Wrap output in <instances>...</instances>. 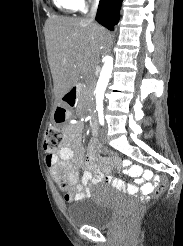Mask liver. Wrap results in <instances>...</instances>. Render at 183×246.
<instances>
[{
    "label": "liver",
    "mask_w": 183,
    "mask_h": 246,
    "mask_svg": "<svg viewBox=\"0 0 183 246\" xmlns=\"http://www.w3.org/2000/svg\"><path fill=\"white\" fill-rule=\"evenodd\" d=\"M45 35L54 93L60 99L78 82L80 74L97 64L106 31L88 19L51 16Z\"/></svg>",
    "instance_id": "6515ba94"
}]
</instances>
